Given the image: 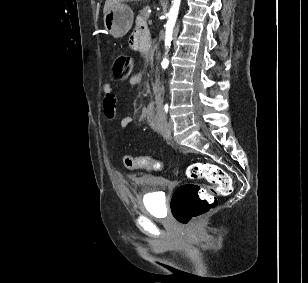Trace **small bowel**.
<instances>
[{"label": "small bowel", "mask_w": 308, "mask_h": 283, "mask_svg": "<svg viewBox=\"0 0 308 283\" xmlns=\"http://www.w3.org/2000/svg\"><path fill=\"white\" fill-rule=\"evenodd\" d=\"M147 31L146 23L142 18H137L136 20V27L132 35L130 36L129 44L130 47L134 50H139V38L140 35ZM141 81V75L135 74L132 76L130 83L135 85ZM103 92H104V114L105 117L109 120H114L116 117L117 111V97L114 93L113 86L110 83H106L103 85ZM140 117H145L147 114V110L145 108H139ZM132 121V118L129 115H125L121 121L120 125L122 128H126Z\"/></svg>", "instance_id": "1"}]
</instances>
